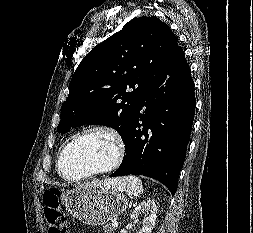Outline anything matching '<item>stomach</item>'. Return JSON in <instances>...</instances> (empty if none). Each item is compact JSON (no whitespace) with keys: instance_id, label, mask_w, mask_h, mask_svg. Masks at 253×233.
Wrapping results in <instances>:
<instances>
[{"instance_id":"1","label":"stomach","mask_w":253,"mask_h":233,"mask_svg":"<svg viewBox=\"0 0 253 233\" xmlns=\"http://www.w3.org/2000/svg\"><path fill=\"white\" fill-rule=\"evenodd\" d=\"M61 200L74 218L91 226L106 224L128 207L122 191L96 182L63 193Z\"/></svg>"}]
</instances>
